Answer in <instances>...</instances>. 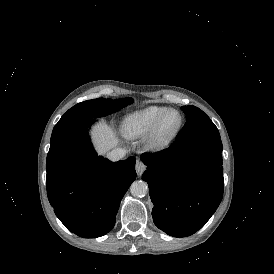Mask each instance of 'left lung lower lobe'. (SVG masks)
<instances>
[{"label":"left lung lower lobe","mask_w":274,"mask_h":274,"mask_svg":"<svg viewBox=\"0 0 274 274\" xmlns=\"http://www.w3.org/2000/svg\"><path fill=\"white\" fill-rule=\"evenodd\" d=\"M220 136L179 140L167 149L144 153L142 179L149 185L155 225L174 237L198 231L214 214L223 196Z\"/></svg>","instance_id":"left-lung-lower-lobe-1"}]
</instances>
